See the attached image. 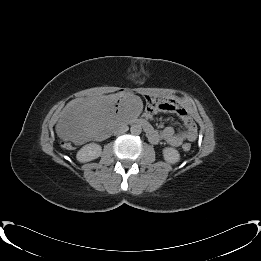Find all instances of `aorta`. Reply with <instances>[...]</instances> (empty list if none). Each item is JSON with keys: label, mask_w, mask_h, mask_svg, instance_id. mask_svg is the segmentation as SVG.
Returning a JSON list of instances; mask_svg holds the SVG:
<instances>
[{"label": "aorta", "mask_w": 261, "mask_h": 261, "mask_svg": "<svg viewBox=\"0 0 261 261\" xmlns=\"http://www.w3.org/2000/svg\"><path fill=\"white\" fill-rule=\"evenodd\" d=\"M130 132H131L132 135H140L141 132H142L141 125H138V124L132 125L131 128H130Z\"/></svg>", "instance_id": "aorta-1"}]
</instances>
